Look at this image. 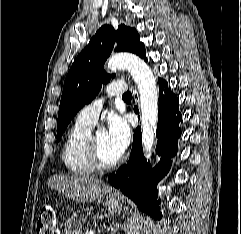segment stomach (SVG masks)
<instances>
[{
  "label": "stomach",
  "instance_id": "1",
  "mask_svg": "<svg viewBox=\"0 0 241 234\" xmlns=\"http://www.w3.org/2000/svg\"><path fill=\"white\" fill-rule=\"evenodd\" d=\"M105 206L112 213L120 212L123 208L122 199L117 195L109 194L105 197ZM64 225V234H85L75 218H68Z\"/></svg>",
  "mask_w": 241,
  "mask_h": 234
}]
</instances>
